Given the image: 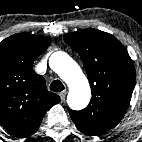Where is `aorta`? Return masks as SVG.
<instances>
[{
  "label": "aorta",
  "mask_w": 142,
  "mask_h": 142,
  "mask_svg": "<svg viewBox=\"0 0 142 142\" xmlns=\"http://www.w3.org/2000/svg\"><path fill=\"white\" fill-rule=\"evenodd\" d=\"M49 65L69 87L68 105L74 110L85 108L91 98V89L79 65L62 51L51 55Z\"/></svg>",
  "instance_id": "obj_1"
}]
</instances>
